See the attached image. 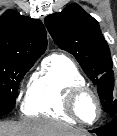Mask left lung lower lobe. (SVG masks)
I'll list each match as a JSON object with an SVG mask.
<instances>
[{
    "mask_svg": "<svg viewBox=\"0 0 117 136\" xmlns=\"http://www.w3.org/2000/svg\"><path fill=\"white\" fill-rule=\"evenodd\" d=\"M90 132H94L98 136H117V117L108 125L96 130H91Z\"/></svg>",
    "mask_w": 117,
    "mask_h": 136,
    "instance_id": "left-lung-lower-lobe-1",
    "label": "left lung lower lobe"
}]
</instances>
